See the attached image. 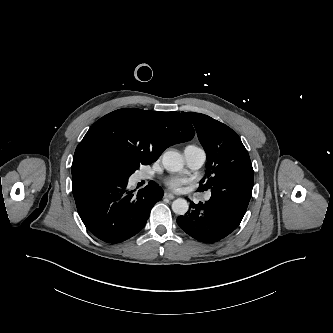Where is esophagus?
<instances>
[{
  "instance_id": "obj_1",
  "label": "esophagus",
  "mask_w": 333,
  "mask_h": 333,
  "mask_svg": "<svg viewBox=\"0 0 333 333\" xmlns=\"http://www.w3.org/2000/svg\"><path fill=\"white\" fill-rule=\"evenodd\" d=\"M164 198H167L169 200H173L175 198V196L171 193H164Z\"/></svg>"
}]
</instances>
